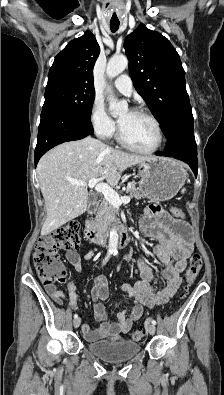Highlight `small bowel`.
I'll use <instances>...</instances> for the list:
<instances>
[{
  "mask_svg": "<svg viewBox=\"0 0 224 395\" xmlns=\"http://www.w3.org/2000/svg\"><path fill=\"white\" fill-rule=\"evenodd\" d=\"M139 227L147 238L157 240L153 247V256L164 266L161 278L165 284L158 291H154L150 283L158 277L143 259H139L138 267L142 280L135 286H122L133 300V307L128 312L118 313L115 322L111 323L107 320L102 303L108 298L107 280L104 276L96 277L91 287V298L94 302V316L100 322V326L96 330H91L87 323L82 324L81 331L87 341L126 334L142 316L144 307L152 308L167 303L179 288L181 274L193 252L194 235L190 225L181 219L171 217L159 206L152 205L140 218ZM66 258L78 272L82 270L83 263L77 251L67 250ZM44 287L57 303L61 304L66 299L64 292L54 284H44ZM67 290L71 307L78 310L76 287L72 281L67 283Z\"/></svg>",
  "mask_w": 224,
  "mask_h": 395,
  "instance_id": "obj_1",
  "label": "small bowel"
}]
</instances>
